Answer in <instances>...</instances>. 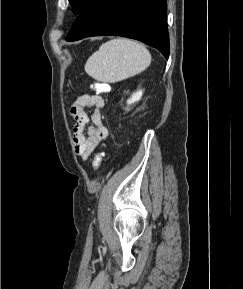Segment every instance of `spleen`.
Segmentation results:
<instances>
[{
  "instance_id": "3e777b00",
  "label": "spleen",
  "mask_w": 243,
  "mask_h": 289,
  "mask_svg": "<svg viewBox=\"0 0 243 289\" xmlns=\"http://www.w3.org/2000/svg\"><path fill=\"white\" fill-rule=\"evenodd\" d=\"M151 63L146 47L127 38L103 43L85 64L86 73L99 82L116 83L144 71Z\"/></svg>"
}]
</instances>
